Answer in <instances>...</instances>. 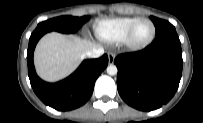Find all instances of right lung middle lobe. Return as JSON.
Masks as SVG:
<instances>
[{
	"label": "right lung middle lobe",
	"instance_id": "dd1d6c3e",
	"mask_svg": "<svg viewBox=\"0 0 203 123\" xmlns=\"http://www.w3.org/2000/svg\"><path fill=\"white\" fill-rule=\"evenodd\" d=\"M88 20V16H60L39 23L35 30L43 31L46 33L50 31H58L61 33H75Z\"/></svg>",
	"mask_w": 203,
	"mask_h": 123
}]
</instances>
